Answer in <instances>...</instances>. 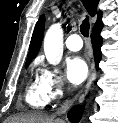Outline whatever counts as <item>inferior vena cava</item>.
<instances>
[{
    "label": "inferior vena cava",
    "mask_w": 118,
    "mask_h": 123,
    "mask_svg": "<svg viewBox=\"0 0 118 123\" xmlns=\"http://www.w3.org/2000/svg\"><path fill=\"white\" fill-rule=\"evenodd\" d=\"M71 102L69 100H65L63 104L56 110L55 116H60L65 114L70 107Z\"/></svg>",
    "instance_id": "602c4592"
}]
</instances>
